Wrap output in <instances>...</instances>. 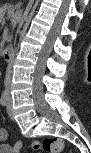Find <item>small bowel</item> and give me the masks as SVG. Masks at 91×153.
<instances>
[{
    "instance_id": "1",
    "label": "small bowel",
    "mask_w": 91,
    "mask_h": 153,
    "mask_svg": "<svg viewBox=\"0 0 91 153\" xmlns=\"http://www.w3.org/2000/svg\"><path fill=\"white\" fill-rule=\"evenodd\" d=\"M7 138V132L5 130H0V141H4ZM0 150L3 153H14L17 152L14 145H9L5 143L0 144Z\"/></svg>"
}]
</instances>
